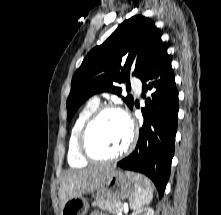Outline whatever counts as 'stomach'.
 Returning <instances> with one entry per match:
<instances>
[{
    "instance_id": "0dacf381",
    "label": "stomach",
    "mask_w": 221,
    "mask_h": 215,
    "mask_svg": "<svg viewBox=\"0 0 221 215\" xmlns=\"http://www.w3.org/2000/svg\"><path fill=\"white\" fill-rule=\"evenodd\" d=\"M136 177L143 179V176L120 170H112L93 191V198L96 202L107 199L126 198L135 189ZM89 208L88 201L83 196L69 199L61 208V215H86Z\"/></svg>"
}]
</instances>
